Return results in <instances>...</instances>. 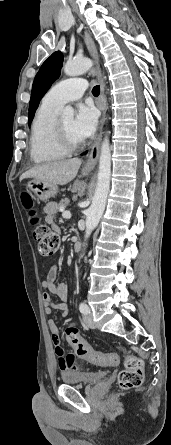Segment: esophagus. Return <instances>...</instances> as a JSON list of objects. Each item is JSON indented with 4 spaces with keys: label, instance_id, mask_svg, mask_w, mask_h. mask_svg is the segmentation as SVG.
Segmentation results:
<instances>
[{
    "label": "esophagus",
    "instance_id": "obj_1",
    "mask_svg": "<svg viewBox=\"0 0 171 445\" xmlns=\"http://www.w3.org/2000/svg\"><path fill=\"white\" fill-rule=\"evenodd\" d=\"M84 40H85L86 46L88 48V51L96 64L97 77L100 80V84H101V95H100L99 104H98V106L102 112L101 122H100V133H99V136H98L96 142L93 144L91 151L88 155V158H87V160L84 164V167H83L84 172H89L94 168V166L97 163L98 157H99L100 142L102 139V129H103V125L106 120V111L108 108V104H107V98L105 95L104 78H103V75L100 70L99 56H98L97 48H96V45H95L90 33L87 30L84 31Z\"/></svg>",
    "mask_w": 171,
    "mask_h": 445
}]
</instances>
